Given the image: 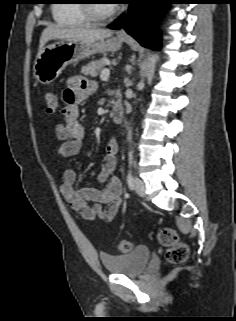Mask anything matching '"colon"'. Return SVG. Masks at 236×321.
<instances>
[{"label":"colon","mask_w":236,"mask_h":321,"mask_svg":"<svg viewBox=\"0 0 236 321\" xmlns=\"http://www.w3.org/2000/svg\"><path fill=\"white\" fill-rule=\"evenodd\" d=\"M46 111L50 114L56 112L59 106L56 94L48 92L44 97ZM157 241L166 247V259L172 264L185 262L189 255L187 245L180 239L178 233L171 227H164L157 234ZM133 244L128 239H121L116 243V248L120 253L126 254L132 250Z\"/></svg>","instance_id":"5ec220e1"}]
</instances>
